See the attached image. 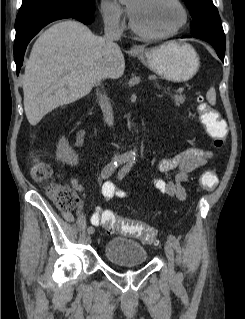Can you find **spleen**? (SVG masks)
Returning a JSON list of instances; mask_svg holds the SVG:
<instances>
[{
    "mask_svg": "<svg viewBox=\"0 0 245 319\" xmlns=\"http://www.w3.org/2000/svg\"><path fill=\"white\" fill-rule=\"evenodd\" d=\"M206 99L211 105H215L216 103V92L214 87H211L206 94Z\"/></svg>",
    "mask_w": 245,
    "mask_h": 319,
    "instance_id": "spleen-1",
    "label": "spleen"
}]
</instances>
